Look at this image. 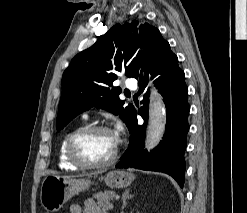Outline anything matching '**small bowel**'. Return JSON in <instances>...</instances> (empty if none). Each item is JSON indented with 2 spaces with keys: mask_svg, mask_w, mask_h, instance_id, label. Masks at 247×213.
Here are the masks:
<instances>
[{
  "mask_svg": "<svg viewBox=\"0 0 247 213\" xmlns=\"http://www.w3.org/2000/svg\"><path fill=\"white\" fill-rule=\"evenodd\" d=\"M70 213H104L92 199H86L83 205L72 204Z\"/></svg>",
  "mask_w": 247,
  "mask_h": 213,
  "instance_id": "obj_1",
  "label": "small bowel"
}]
</instances>
